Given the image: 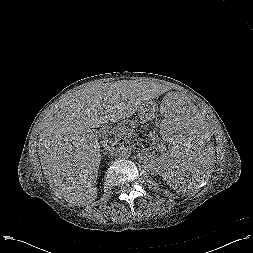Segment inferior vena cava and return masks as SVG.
<instances>
[{"label": "inferior vena cava", "instance_id": "obj_1", "mask_svg": "<svg viewBox=\"0 0 253 253\" xmlns=\"http://www.w3.org/2000/svg\"><path fill=\"white\" fill-rule=\"evenodd\" d=\"M104 148L108 150L111 155H113L114 151H118V149L116 147H113V145L109 146L106 144L104 145Z\"/></svg>", "mask_w": 253, "mask_h": 253}]
</instances>
